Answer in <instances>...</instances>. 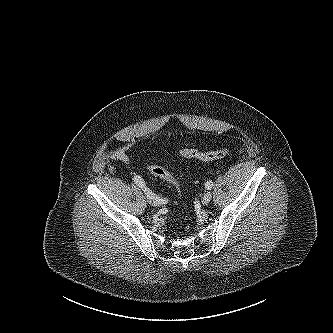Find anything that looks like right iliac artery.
<instances>
[{"instance_id": "right-iliac-artery-1", "label": "right iliac artery", "mask_w": 333, "mask_h": 333, "mask_svg": "<svg viewBox=\"0 0 333 333\" xmlns=\"http://www.w3.org/2000/svg\"><path fill=\"white\" fill-rule=\"evenodd\" d=\"M134 182L143 189V191L152 198H155V200L159 203V204H165L167 203L166 199L160 198L158 196H156L152 191H150L147 187L146 184L144 182V180L140 177V176H134L133 178Z\"/></svg>"}]
</instances>
